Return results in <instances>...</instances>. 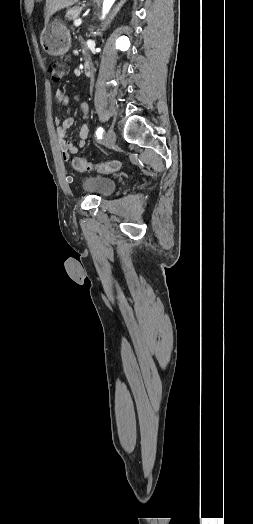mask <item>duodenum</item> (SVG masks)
<instances>
[{"mask_svg":"<svg viewBox=\"0 0 253 524\" xmlns=\"http://www.w3.org/2000/svg\"><path fill=\"white\" fill-rule=\"evenodd\" d=\"M84 71L87 75H90L92 72V65L90 62H85L84 64Z\"/></svg>","mask_w":253,"mask_h":524,"instance_id":"1","label":"duodenum"}]
</instances>
